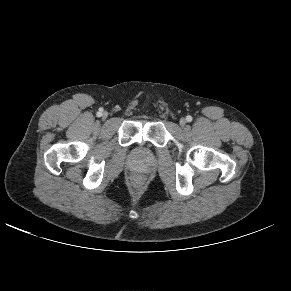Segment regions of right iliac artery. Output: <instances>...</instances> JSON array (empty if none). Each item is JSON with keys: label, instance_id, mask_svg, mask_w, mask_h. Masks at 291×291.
<instances>
[{"label": "right iliac artery", "instance_id": "right-iliac-artery-1", "mask_svg": "<svg viewBox=\"0 0 291 291\" xmlns=\"http://www.w3.org/2000/svg\"><path fill=\"white\" fill-rule=\"evenodd\" d=\"M102 115V110H100L98 113H97V116H101Z\"/></svg>", "mask_w": 291, "mask_h": 291}]
</instances>
